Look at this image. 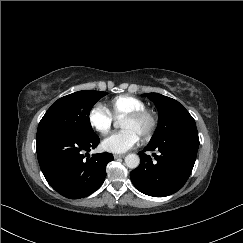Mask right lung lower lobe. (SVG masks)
Wrapping results in <instances>:
<instances>
[{"label":"right lung lower lobe","instance_id":"1","mask_svg":"<svg viewBox=\"0 0 243 243\" xmlns=\"http://www.w3.org/2000/svg\"><path fill=\"white\" fill-rule=\"evenodd\" d=\"M99 142L97 135L48 133L36 137L39 165L50 186L70 199L96 191L105 180L106 165L113 160V155L107 152L89 157L87 152Z\"/></svg>","mask_w":243,"mask_h":243}]
</instances>
